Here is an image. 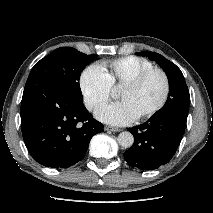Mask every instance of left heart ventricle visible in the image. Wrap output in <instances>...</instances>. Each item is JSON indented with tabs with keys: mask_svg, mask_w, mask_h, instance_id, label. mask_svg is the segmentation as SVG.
Returning <instances> with one entry per match:
<instances>
[{
	"mask_svg": "<svg viewBox=\"0 0 213 213\" xmlns=\"http://www.w3.org/2000/svg\"><path fill=\"white\" fill-rule=\"evenodd\" d=\"M163 91L162 77L159 74H152L135 88L122 87L118 98L121 101H126L137 117L157 104Z\"/></svg>",
	"mask_w": 213,
	"mask_h": 213,
	"instance_id": "1",
	"label": "left heart ventricle"
}]
</instances>
